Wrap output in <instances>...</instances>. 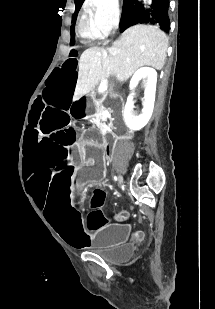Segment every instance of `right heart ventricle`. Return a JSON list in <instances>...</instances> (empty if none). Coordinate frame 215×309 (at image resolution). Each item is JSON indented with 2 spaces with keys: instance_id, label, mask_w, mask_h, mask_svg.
Masks as SVG:
<instances>
[{
  "instance_id": "1",
  "label": "right heart ventricle",
  "mask_w": 215,
  "mask_h": 309,
  "mask_svg": "<svg viewBox=\"0 0 215 309\" xmlns=\"http://www.w3.org/2000/svg\"><path fill=\"white\" fill-rule=\"evenodd\" d=\"M80 25L82 26L81 32H84V30H86V32H89V30L91 29V20L81 19ZM87 35H91V33H87Z\"/></svg>"
}]
</instances>
